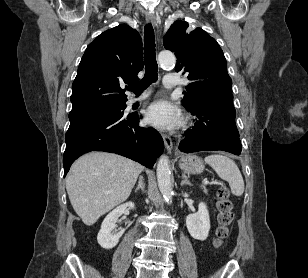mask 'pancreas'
Segmentation results:
<instances>
[{"instance_id":"1","label":"pancreas","mask_w":308,"mask_h":278,"mask_svg":"<svg viewBox=\"0 0 308 278\" xmlns=\"http://www.w3.org/2000/svg\"><path fill=\"white\" fill-rule=\"evenodd\" d=\"M202 189H203L204 193H207V189L204 186H202Z\"/></svg>"}]
</instances>
